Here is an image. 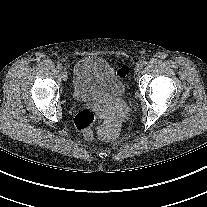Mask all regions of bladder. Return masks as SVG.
Segmentation results:
<instances>
[{
	"label": "bladder",
	"mask_w": 207,
	"mask_h": 207,
	"mask_svg": "<svg viewBox=\"0 0 207 207\" xmlns=\"http://www.w3.org/2000/svg\"><path fill=\"white\" fill-rule=\"evenodd\" d=\"M71 93L84 102L119 99L126 94L123 77L105 60L96 56L81 58L74 67Z\"/></svg>",
	"instance_id": "1"
}]
</instances>
